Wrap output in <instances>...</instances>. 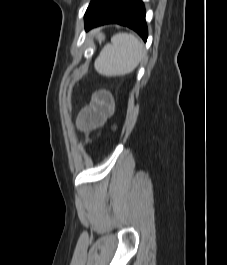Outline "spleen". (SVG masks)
<instances>
[{"label": "spleen", "mask_w": 227, "mask_h": 265, "mask_svg": "<svg viewBox=\"0 0 227 265\" xmlns=\"http://www.w3.org/2000/svg\"><path fill=\"white\" fill-rule=\"evenodd\" d=\"M146 56L143 44L132 34L117 33L101 50L94 63L96 71L105 76L131 73Z\"/></svg>", "instance_id": "obj_1"}]
</instances>
